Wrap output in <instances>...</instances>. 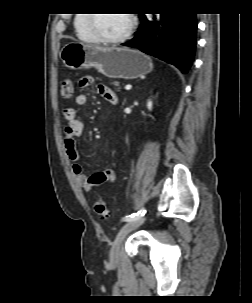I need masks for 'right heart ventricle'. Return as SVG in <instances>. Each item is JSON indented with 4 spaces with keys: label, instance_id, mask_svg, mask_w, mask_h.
Masks as SVG:
<instances>
[{
    "label": "right heart ventricle",
    "instance_id": "obj_1",
    "mask_svg": "<svg viewBox=\"0 0 252 303\" xmlns=\"http://www.w3.org/2000/svg\"><path fill=\"white\" fill-rule=\"evenodd\" d=\"M75 28L78 34L81 37L87 39H94V34L91 30L90 23H89V16L85 14H78V16L74 20Z\"/></svg>",
    "mask_w": 252,
    "mask_h": 303
}]
</instances>
